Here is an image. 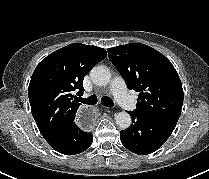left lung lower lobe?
I'll return each mask as SVG.
<instances>
[{
  "label": "left lung lower lobe",
  "instance_id": "left-lung-lower-lobe-1",
  "mask_svg": "<svg viewBox=\"0 0 209 179\" xmlns=\"http://www.w3.org/2000/svg\"><path fill=\"white\" fill-rule=\"evenodd\" d=\"M133 124L120 132L122 144L138 155L159 149L172 134L177 122L129 111Z\"/></svg>",
  "mask_w": 209,
  "mask_h": 179
}]
</instances>
